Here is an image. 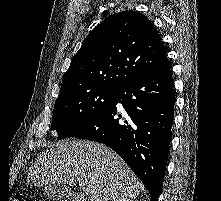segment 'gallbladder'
Returning a JSON list of instances; mask_svg holds the SVG:
<instances>
[{
    "instance_id": "1",
    "label": "gallbladder",
    "mask_w": 221,
    "mask_h": 201,
    "mask_svg": "<svg viewBox=\"0 0 221 201\" xmlns=\"http://www.w3.org/2000/svg\"><path fill=\"white\" fill-rule=\"evenodd\" d=\"M45 194L52 200L66 201L73 197V193L66 186L61 184L48 185L44 189Z\"/></svg>"
}]
</instances>
